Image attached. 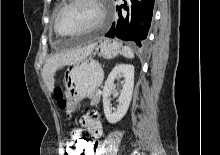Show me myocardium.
<instances>
[{
    "label": "myocardium",
    "instance_id": "1",
    "mask_svg": "<svg viewBox=\"0 0 220 155\" xmlns=\"http://www.w3.org/2000/svg\"><path fill=\"white\" fill-rule=\"evenodd\" d=\"M79 1H82V0H67V2L64 3L58 9V11L56 12V15L54 17V21H53V30H54L56 35H58L60 37L78 36V35L86 34V33H89V32H91L93 30H96L100 26L103 25V23L105 22L106 17H107V9H106L104 0H89L92 3H94L97 6L98 10H99V17H98V19L93 24H91L90 26H88V27H86L83 30H80L78 32H75V33H72V34H68V35H64V34L60 33L58 31V28H57V22H58L60 14L65 9H67L68 7H70L71 5H73V4H75V3L79 2Z\"/></svg>",
    "mask_w": 220,
    "mask_h": 155
}]
</instances>
